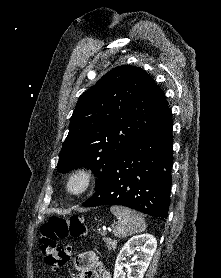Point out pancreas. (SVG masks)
Segmentation results:
<instances>
[{
	"mask_svg": "<svg viewBox=\"0 0 221 278\" xmlns=\"http://www.w3.org/2000/svg\"><path fill=\"white\" fill-rule=\"evenodd\" d=\"M103 241L106 243V247L111 250L116 248V240H113L111 238L103 237Z\"/></svg>",
	"mask_w": 221,
	"mask_h": 278,
	"instance_id": "1",
	"label": "pancreas"
}]
</instances>
